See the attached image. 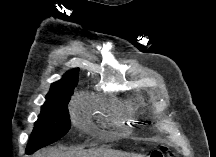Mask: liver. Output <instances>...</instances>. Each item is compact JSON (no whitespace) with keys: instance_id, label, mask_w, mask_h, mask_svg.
Returning <instances> with one entry per match:
<instances>
[{"instance_id":"6515ba94","label":"liver","mask_w":216,"mask_h":157,"mask_svg":"<svg viewBox=\"0 0 216 157\" xmlns=\"http://www.w3.org/2000/svg\"><path fill=\"white\" fill-rule=\"evenodd\" d=\"M33 157H141L137 154H128L113 150H90V151H62L56 148H49L43 152H37Z\"/></svg>"}]
</instances>
